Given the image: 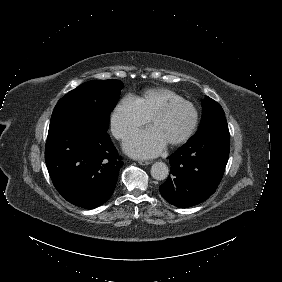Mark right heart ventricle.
Returning a JSON list of instances; mask_svg holds the SVG:
<instances>
[{"mask_svg": "<svg viewBox=\"0 0 282 282\" xmlns=\"http://www.w3.org/2000/svg\"><path fill=\"white\" fill-rule=\"evenodd\" d=\"M166 98L171 100H181V97L165 88L149 89L141 96L135 97V100L143 113L150 118Z\"/></svg>", "mask_w": 282, "mask_h": 282, "instance_id": "1", "label": "right heart ventricle"}]
</instances>
